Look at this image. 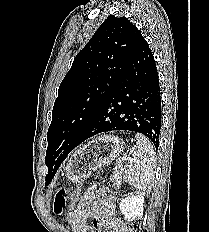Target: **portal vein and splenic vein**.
I'll use <instances>...</instances> for the list:
<instances>
[{"instance_id":"18ae733b","label":"portal vein and splenic vein","mask_w":209,"mask_h":232,"mask_svg":"<svg viewBox=\"0 0 209 232\" xmlns=\"http://www.w3.org/2000/svg\"><path fill=\"white\" fill-rule=\"evenodd\" d=\"M132 160H133V158H131V157H123L122 159H120L118 161L117 165H121L125 161H132Z\"/></svg>"}]
</instances>
